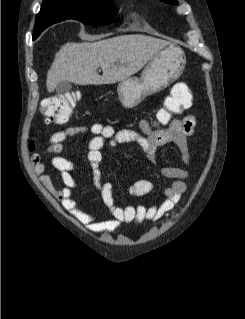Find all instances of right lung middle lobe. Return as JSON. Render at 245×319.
I'll return each mask as SVG.
<instances>
[{
	"instance_id": "dd1d6c3e",
	"label": "right lung middle lobe",
	"mask_w": 245,
	"mask_h": 319,
	"mask_svg": "<svg viewBox=\"0 0 245 319\" xmlns=\"http://www.w3.org/2000/svg\"><path fill=\"white\" fill-rule=\"evenodd\" d=\"M48 5L52 7V17L58 22L76 19L90 25H107L117 13L113 0H54ZM35 28L41 32L44 29L36 23Z\"/></svg>"
}]
</instances>
